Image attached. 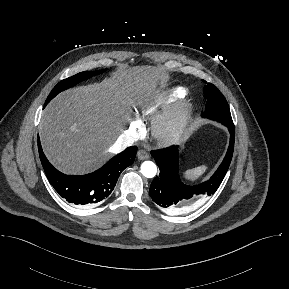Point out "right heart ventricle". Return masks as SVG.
<instances>
[{
	"mask_svg": "<svg viewBox=\"0 0 289 289\" xmlns=\"http://www.w3.org/2000/svg\"><path fill=\"white\" fill-rule=\"evenodd\" d=\"M183 95H184V90L176 89L165 101L159 102L153 105H149L140 109L138 112V115L140 118H147L153 115L161 105L170 103Z\"/></svg>",
	"mask_w": 289,
	"mask_h": 289,
	"instance_id": "1",
	"label": "right heart ventricle"
}]
</instances>
